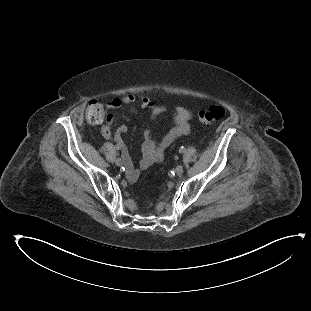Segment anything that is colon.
<instances>
[{
  "label": "colon",
  "mask_w": 311,
  "mask_h": 311,
  "mask_svg": "<svg viewBox=\"0 0 311 311\" xmlns=\"http://www.w3.org/2000/svg\"><path fill=\"white\" fill-rule=\"evenodd\" d=\"M109 108L99 102H93L89 105L86 111V119L90 124L100 125L106 120V110ZM226 113V110L221 106H213L199 111V120L205 125L209 126L216 121H219Z\"/></svg>",
  "instance_id": "colon-1"
}]
</instances>
